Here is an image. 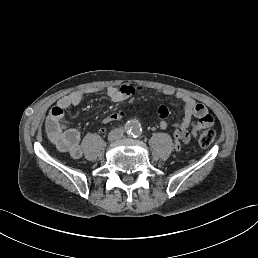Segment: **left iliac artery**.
<instances>
[{
  "mask_svg": "<svg viewBox=\"0 0 258 258\" xmlns=\"http://www.w3.org/2000/svg\"><path fill=\"white\" fill-rule=\"evenodd\" d=\"M142 133V128L138 122H134L132 125L131 130L129 131V135L131 137L137 138L141 135Z\"/></svg>",
  "mask_w": 258,
  "mask_h": 258,
  "instance_id": "1",
  "label": "left iliac artery"
}]
</instances>
